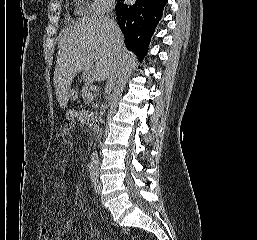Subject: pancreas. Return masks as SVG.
<instances>
[{"instance_id":"cf45deb5","label":"pancreas","mask_w":257,"mask_h":240,"mask_svg":"<svg viewBox=\"0 0 257 240\" xmlns=\"http://www.w3.org/2000/svg\"><path fill=\"white\" fill-rule=\"evenodd\" d=\"M90 94V91H89V84H85L83 87H82V98L84 101H87L89 102L91 99H89L88 95Z\"/></svg>"}]
</instances>
